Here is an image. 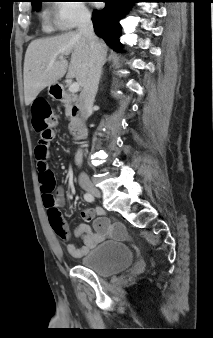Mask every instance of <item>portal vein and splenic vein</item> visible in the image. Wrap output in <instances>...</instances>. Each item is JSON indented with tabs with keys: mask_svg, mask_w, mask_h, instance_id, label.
I'll use <instances>...</instances> for the list:
<instances>
[{
	"mask_svg": "<svg viewBox=\"0 0 213 338\" xmlns=\"http://www.w3.org/2000/svg\"><path fill=\"white\" fill-rule=\"evenodd\" d=\"M60 59H63V56H60ZM79 84L77 82H73L69 86V91L71 93H77L79 91Z\"/></svg>",
	"mask_w": 213,
	"mask_h": 338,
	"instance_id": "obj_1",
	"label": "portal vein and splenic vein"
}]
</instances>
